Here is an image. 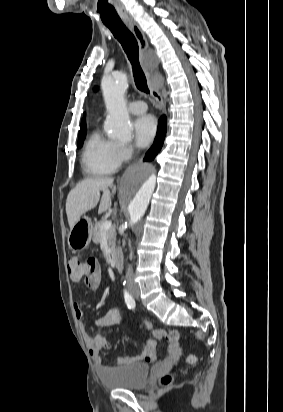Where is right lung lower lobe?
<instances>
[{"mask_svg":"<svg viewBox=\"0 0 283 412\" xmlns=\"http://www.w3.org/2000/svg\"><path fill=\"white\" fill-rule=\"evenodd\" d=\"M166 130H167V119H166V116H162L159 120L156 139H155L152 147L146 153L144 161H151L158 154V152L160 151V149L163 145L164 138H165V135H166Z\"/></svg>","mask_w":283,"mask_h":412,"instance_id":"98d812e1","label":"right lung lower lobe"}]
</instances>
